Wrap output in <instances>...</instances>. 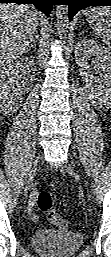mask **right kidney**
Returning a JSON list of instances; mask_svg holds the SVG:
<instances>
[{
  "mask_svg": "<svg viewBox=\"0 0 111 257\" xmlns=\"http://www.w3.org/2000/svg\"><path fill=\"white\" fill-rule=\"evenodd\" d=\"M35 63L30 58H20L1 70L0 99L2 111L10 114L22 102V94L29 90L34 80Z\"/></svg>",
  "mask_w": 111,
  "mask_h": 257,
  "instance_id": "ca27d5eb",
  "label": "right kidney"
}]
</instances>
